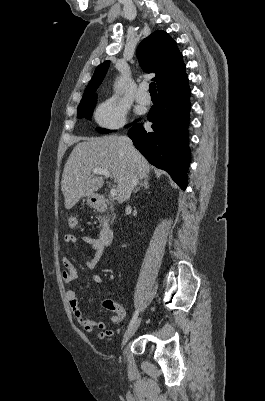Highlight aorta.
Wrapping results in <instances>:
<instances>
[{
    "mask_svg": "<svg viewBox=\"0 0 265 401\" xmlns=\"http://www.w3.org/2000/svg\"><path fill=\"white\" fill-rule=\"evenodd\" d=\"M123 84H124V78H122V76H119V78H117L114 84L116 92H120L121 88H123Z\"/></svg>",
    "mask_w": 265,
    "mask_h": 401,
    "instance_id": "762f6f07",
    "label": "aorta"
}]
</instances>
